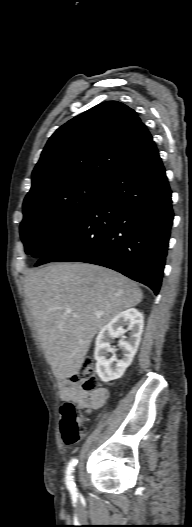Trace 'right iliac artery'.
<instances>
[{
  "label": "right iliac artery",
  "instance_id": "obj_1",
  "mask_svg": "<svg viewBox=\"0 0 192 527\" xmlns=\"http://www.w3.org/2000/svg\"><path fill=\"white\" fill-rule=\"evenodd\" d=\"M76 464H77V460L73 458L69 462L67 466V471H66V485L71 493L76 492V486H75L74 478H73L74 467Z\"/></svg>",
  "mask_w": 192,
  "mask_h": 527
}]
</instances>
